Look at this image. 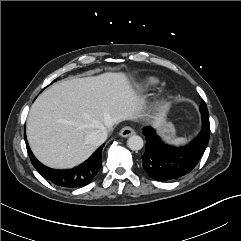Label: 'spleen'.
I'll use <instances>...</instances> for the list:
<instances>
[{
	"label": "spleen",
	"mask_w": 241,
	"mask_h": 241,
	"mask_svg": "<svg viewBox=\"0 0 241 241\" xmlns=\"http://www.w3.org/2000/svg\"><path fill=\"white\" fill-rule=\"evenodd\" d=\"M186 142H187V139L183 138V137L174 138V139L169 141V143L175 144V145L185 144Z\"/></svg>",
	"instance_id": "obj_1"
}]
</instances>
